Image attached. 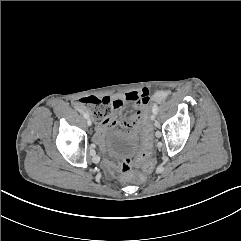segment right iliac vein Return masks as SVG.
<instances>
[{"mask_svg": "<svg viewBox=\"0 0 241 241\" xmlns=\"http://www.w3.org/2000/svg\"><path fill=\"white\" fill-rule=\"evenodd\" d=\"M87 124H88V126H91V125H92V121H91L90 118H87Z\"/></svg>", "mask_w": 241, "mask_h": 241, "instance_id": "1", "label": "right iliac vein"}]
</instances>
